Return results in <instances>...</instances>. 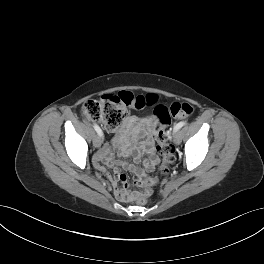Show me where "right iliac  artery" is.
Masks as SVG:
<instances>
[{
	"mask_svg": "<svg viewBox=\"0 0 264 264\" xmlns=\"http://www.w3.org/2000/svg\"><path fill=\"white\" fill-rule=\"evenodd\" d=\"M93 127L99 136H103L102 130L100 129V127L98 125L94 124Z\"/></svg>",
	"mask_w": 264,
	"mask_h": 264,
	"instance_id": "1",
	"label": "right iliac artery"
}]
</instances>
